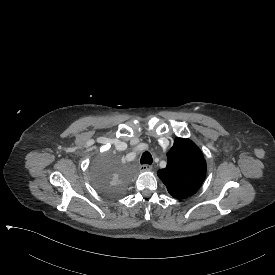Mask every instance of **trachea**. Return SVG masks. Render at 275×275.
Here are the masks:
<instances>
[{
	"label": "trachea",
	"instance_id": "obj_1",
	"mask_svg": "<svg viewBox=\"0 0 275 275\" xmlns=\"http://www.w3.org/2000/svg\"><path fill=\"white\" fill-rule=\"evenodd\" d=\"M140 162L141 164H152V155L148 151H145L141 156Z\"/></svg>",
	"mask_w": 275,
	"mask_h": 275
}]
</instances>
